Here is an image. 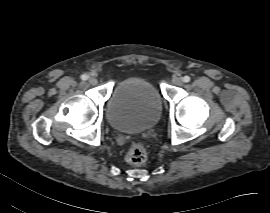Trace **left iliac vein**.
I'll use <instances>...</instances> for the list:
<instances>
[{
  "instance_id": "1",
  "label": "left iliac vein",
  "mask_w": 270,
  "mask_h": 213,
  "mask_svg": "<svg viewBox=\"0 0 270 213\" xmlns=\"http://www.w3.org/2000/svg\"><path fill=\"white\" fill-rule=\"evenodd\" d=\"M172 84L176 86H181L183 84V79L181 77H173Z\"/></svg>"
}]
</instances>
